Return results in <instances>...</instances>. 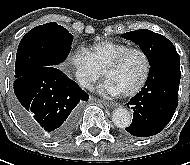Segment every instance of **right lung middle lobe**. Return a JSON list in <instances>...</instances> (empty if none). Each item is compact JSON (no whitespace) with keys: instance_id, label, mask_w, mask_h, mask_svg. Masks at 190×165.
<instances>
[{"instance_id":"obj_1","label":"right lung middle lobe","mask_w":190,"mask_h":165,"mask_svg":"<svg viewBox=\"0 0 190 165\" xmlns=\"http://www.w3.org/2000/svg\"><path fill=\"white\" fill-rule=\"evenodd\" d=\"M73 36L55 22L30 30L21 40L15 62V78L46 66L60 64L69 54Z\"/></svg>"}]
</instances>
